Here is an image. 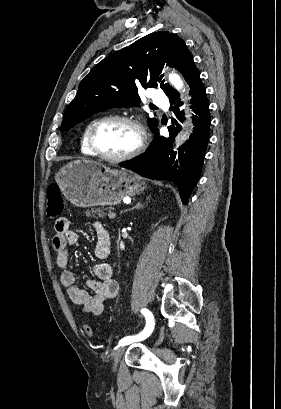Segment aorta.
<instances>
[{"instance_id":"762f6f07","label":"aorta","mask_w":281,"mask_h":409,"mask_svg":"<svg viewBox=\"0 0 281 409\" xmlns=\"http://www.w3.org/2000/svg\"><path fill=\"white\" fill-rule=\"evenodd\" d=\"M169 81L178 91L183 90V81L181 80L179 75L175 73L170 74Z\"/></svg>"}]
</instances>
